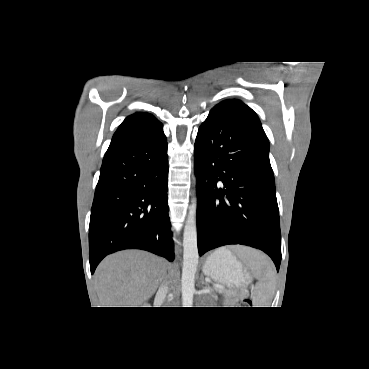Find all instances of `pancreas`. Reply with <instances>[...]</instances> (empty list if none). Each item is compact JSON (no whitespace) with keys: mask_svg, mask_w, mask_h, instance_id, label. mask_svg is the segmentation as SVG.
I'll use <instances>...</instances> for the list:
<instances>
[{"mask_svg":"<svg viewBox=\"0 0 369 369\" xmlns=\"http://www.w3.org/2000/svg\"><path fill=\"white\" fill-rule=\"evenodd\" d=\"M220 293H222L225 296V299L228 304H235L239 299L246 296L245 292H232L229 290H221Z\"/></svg>","mask_w":369,"mask_h":369,"instance_id":"cf45deb5","label":"pancreas"}]
</instances>
